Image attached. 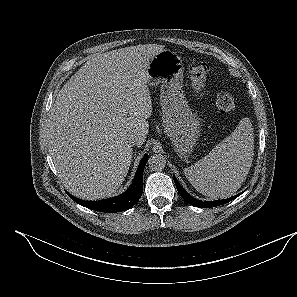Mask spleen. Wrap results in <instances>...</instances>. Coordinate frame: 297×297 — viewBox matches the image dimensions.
I'll return each instance as SVG.
<instances>
[{"label":"spleen","mask_w":297,"mask_h":297,"mask_svg":"<svg viewBox=\"0 0 297 297\" xmlns=\"http://www.w3.org/2000/svg\"><path fill=\"white\" fill-rule=\"evenodd\" d=\"M254 156V134L249 118H242L232 134L205 157L184 169L191 185L203 195L227 198L246 180Z\"/></svg>","instance_id":"1"}]
</instances>
